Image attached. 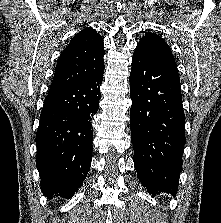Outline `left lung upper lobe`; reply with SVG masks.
Segmentation results:
<instances>
[{
	"mask_svg": "<svg viewBox=\"0 0 221 223\" xmlns=\"http://www.w3.org/2000/svg\"><path fill=\"white\" fill-rule=\"evenodd\" d=\"M136 49L151 56L168 59L175 63L170 47L164 39L155 33L149 32L145 34L140 39Z\"/></svg>",
	"mask_w": 221,
	"mask_h": 223,
	"instance_id": "5c2ea615",
	"label": "left lung upper lobe"
}]
</instances>
